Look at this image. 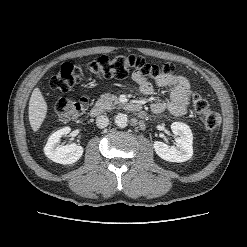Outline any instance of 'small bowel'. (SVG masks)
Returning <instances> with one entry per match:
<instances>
[{"instance_id": "obj_1", "label": "small bowel", "mask_w": 247, "mask_h": 247, "mask_svg": "<svg viewBox=\"0 0 247 247\" xmlns=\"http://www.w3.org/2000/svg\"><path fill=\"white\" fill-rule=\"evenodd\" d=\"M133 80L139 85L140 92L144 95L154 93L153 85L147 78L138 72L132 74ZM157 86L170 89L168 100H160L151 105L154 113H161L165 110L173 115L181 116L186 113L187 105L191 95V85L186 77L180 74L166 73L155 81Z\"/></svg>"}]
</instances>
